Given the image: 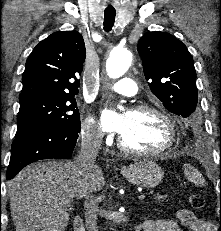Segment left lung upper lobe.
Returning a JSON list of instances; mask_svg holds the SVG:
<instances>
[{
	"label": "left lung upper lobe",
	"mask_w": 221,
	"mask_h": 231,
	"mask_svg": "<svg viewBox=\"0 0 221 231\" xmlns=\"http://www.w3.org/2000/svg\"><path fill=\"white\" fill-rule=\"evenodd\" d=\"M137 49L148 85L164 107L185 118L193 114L198 100L196 71L185 44L156 31L142 36Z\"/></svg>",
	"instance_id": "obj_1"
}]
</instances>
